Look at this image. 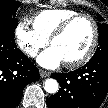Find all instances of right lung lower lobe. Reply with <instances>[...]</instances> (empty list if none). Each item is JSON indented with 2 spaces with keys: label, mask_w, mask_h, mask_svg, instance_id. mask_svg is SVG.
<instances>
[{
  "label": "right lung lower lobe",
  "mask_w": 108,
  "mask_h": 108,
  "mask_svg": "<svg viewBox=\"0 0 108 108\" xmlns=\"http://www.w3.org/2000/svg\"><path fill=\"white\" fill-rule=\"evenodd\" d=\"M38 79V68L16 47L14 38L0 32V108H15L24 87Z\"/></svg>",
  "instance_id": "1"
}]
</instances>
